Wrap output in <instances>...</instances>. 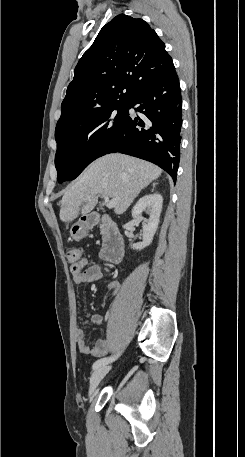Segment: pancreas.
Segmentation results:
<instances>
[{"mask_svg":"<svg viewBox=\"0 0 245 457\" xmlns=\"http://www.w3.org/2000/svg\"><path fill=\"white\" fill-rule=\"evenodd\" d=\"M99 229H100V235H104L103 224H100Z\"/></svg>","mask_w":245,"mask_h":457,"instance_id":"obj_1","label":"pancreas"}]
</instances>
